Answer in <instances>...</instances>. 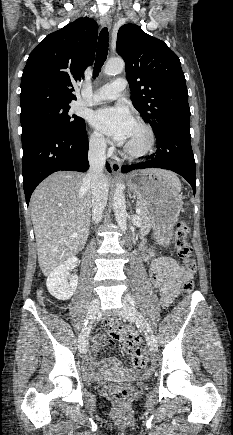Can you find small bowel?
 <instances>
[{"label":"small bowel","instance_id":"c3829d8e","mask_svg":"<svg viewBox=\"0 0 233 435\" xmlns=\"http://www.w3.org/2000/svg\"><path fill=\"white\" fill-rule=\"evenodd\" d=\"M144 260L148 257L143 252ZM192 274L175 260L159 258L153 260L149 265L150 283L161 290L160 304L162 307L171 305L179 291L182 281L190 279ZM104 334L97 335L91 351L85 361L86 373L89 379H94L95 374H126L139 377L146 371V356H139L124 345V350L132 356V365L123 366L115 357L107 356L101 360L100 366L96 363V355L102 346H111L114 340L126 343L128 339L136 345H140L141 339L136 330L129 326H123L113 321L103 324Z\"/></svg>","mask_w":233,"mask_h":435}]
</instances>
